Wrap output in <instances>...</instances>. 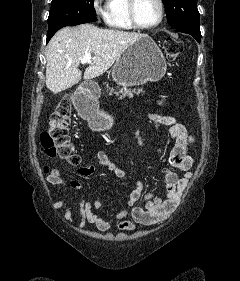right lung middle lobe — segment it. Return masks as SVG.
I'll use <instances>...</instances> for the list:
<instances>
[{
	"label": "right lung middle lobe",
	"mask_w": 240,
	"mask_h": 281,
	"mask_svg": "<svg viewBox=\"0 0 240 281\" xmlns=\"http://www.w3.org/2000/svg\"><path fill=\"white\" fill-rule=\"evenodd\" d=\"M93 0H52L47 40L62 27L96 21Z\"/></svg>",
	"instance_id": "obj_1"
}]
</instances>
